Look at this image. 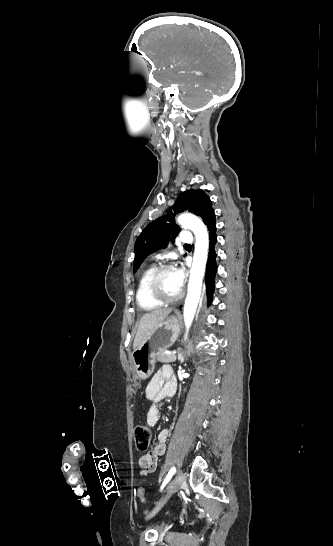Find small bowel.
Returning a JSON list of instances; mask_svg holds the SVG:
<instances>
[{
    "label": "small bowel",
    "mask_w": 333,
    "mask_h": 546,
    "mask_svg": "<svg viewBox=\"0 0 333 546\" xmlns=\"http://www.w3.org/2000/svg\"><path fill=\"white\" fill-rule=\"evenodd\" d=\"M176 380L173 376L172 368L164 365L158 369L149 381L145 389V397L151 403L146 415V421L149 426H155L160 418V402L175 393ZM169 437V431L162 429L158 432L157 442L152 450L138 459L141 474L147 475L153 473L156 469L157 460L164 455L166 443Z\"/></svg>",
    "instance_id": "1"
}]
</instances>
